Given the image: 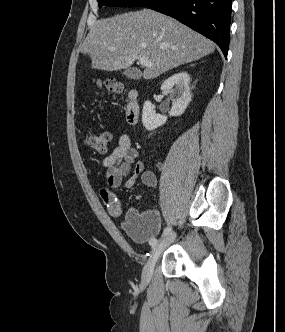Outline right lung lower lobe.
Wrapping results in <instances>:
<instances>
[{
  "mask_svg": "<svg viewBox=\"0 0 285 332\" xmlns=\"http://www.w3.org/2000/svg\"><path fill=\"white\" fill-rule=\"evenodd\" d=\"M145 6L211 39L227 57L232 0H151Z\"/></svg>",
  "mask_w": 285,
  "mask_h": 332,
  "instance_id": "right-lung-lower-lobe-1",
  "label": "right lung lower lobe"
}]
</instances>
